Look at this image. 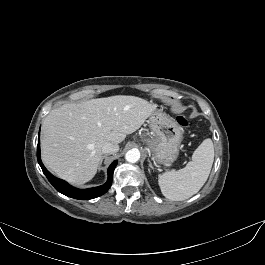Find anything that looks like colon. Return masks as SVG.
<instances>
[{
  "label": "colon",
  "instance_id": "obj_1",
  "mask_svg": "<svg viewBox=\"0 0 265 265\" xmlns=\"http://www.w3.org/2000/svg\"><path fill=\"white\" fill-rule=\"evenodd\" d=\"M177 120H178L179 124H181L182 126H189L190 125L189 120L185 116H179Z\"/></svg>",
  "mask_w": 265,
  "mask_h": 265
}]
</instances>
